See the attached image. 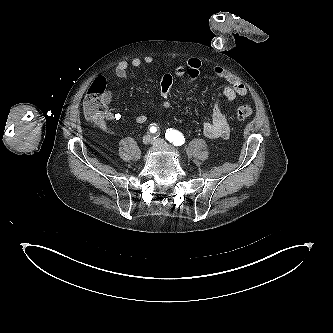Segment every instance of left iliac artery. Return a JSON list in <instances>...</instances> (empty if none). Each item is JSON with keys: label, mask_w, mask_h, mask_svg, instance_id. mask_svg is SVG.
<instances>
[{"label": "left iliac artery", "mask_w": 333, "mask_h": 333, "mask_svg": "<svg viewBox=\"0 0 333 333\" xmlns=\"http://www.w3.org/2000/svg\"><path fill=\"white\" fill-rule=\"evenodd\" d=\"M165 137L175 146H180L185 143V137L183 136V134L172 128L166 130Z\"/></svg>", "instance_id": "1"}]
</instances>
